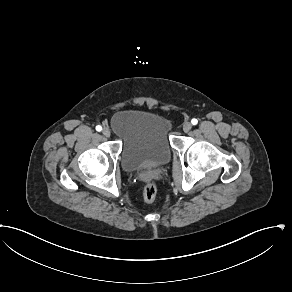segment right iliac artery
<instances>
[{"label":"right iliac artery","mask_w":292,"mask_h":292,"mask_svg":"<svg viewBox=\"0 0 292 292\" xmlns=\"http://www.w3.org/2000/svg\"><path fill=\"white\" fill-rule=\"evenodd\" d=\"M96 130L100 132L102 130V127L100 125H98V126H96Z\"/></svg>","instance_id":"right-iliac-artery-1"}]
</instances>
